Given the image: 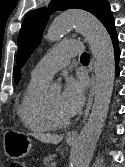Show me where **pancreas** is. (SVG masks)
Instances as JSON below:
<instances>
[{"label":"pancreas","instance_id":"cf45deb5","mask_svg":"<svg viewBox=\"0 0 125 167\" xmlns=\"http://www.w3.org/2000/svg\"><path fill=\"white\" fill-rule=\"evenodd\" d=\"M54 160V156L50 155L48 157H45L43 159V164L45 165V167L50 166V164L52 163V161Z\"/></svg>","mask_w":125,"mask_h":167}]
</instances>
